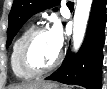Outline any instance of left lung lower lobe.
I'll use <instances>...</instances> for the list:
<instances>
[{"label": "left lung lower lobe", "mask_w": 107, "mask_h": 89, "mask_svg": "<svg viewBox=\"0 0 107 89\" xmlns=\"http://www.w3.org/2000/svg\"><path fill=\"white\" fill-rule=\"evenodd\" d=\"M105 24L106 0H94L87 35L79 52L77 55L67 53L60 68L45 79L101 89Z\"/></svg>", "instance_id": "obj_1"}]
</instances>
